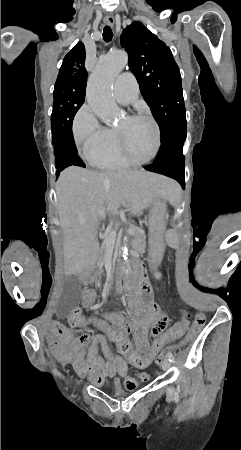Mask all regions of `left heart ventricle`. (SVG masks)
Returning a JSON list of instances; mask_svg holds the SVG:
<instances>
[{
    "instance_id": "1",
    "label": "left heart ventricle",
    "mask_w": 241,
    "mask_h": 450,
    "mask_svg": "<svg viewBox=\"0 0 241 450\" xmlns=\"http://www.w3.org/2000/svg\"><path fill=\"white\" fill-rule=\"evenodd\" d=\"M153 117L145 112L133 115L132 121H125L123 124V140L125 148L129 149V167L130 169H139L145 160L153 159L152 149L154 148V132L157 127L153 126ZM120 124L118 125V127Z\"/></svg>"
}]
</instances>
